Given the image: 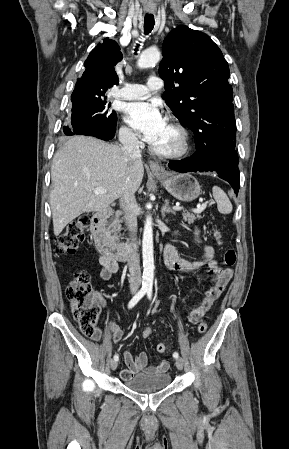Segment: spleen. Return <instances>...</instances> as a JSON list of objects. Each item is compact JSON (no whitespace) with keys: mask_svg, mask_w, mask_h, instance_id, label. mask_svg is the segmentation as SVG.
<instances>
[{"mask_svg":"<svg viewBox=\"0 0 289 449\" xmlns=\"http://www.w3.org/2000/svg\"><path fill=\"white\" fill-rule=\"evenodd\" d=\"M212 192L217 202L218 211L221 214H230L233 207L226 193L218 186H214Z\"/></svg>","mask_w":289,"mask_h":449,"instance_id":"3e777b00","label":"spleen"}]
</instances>
